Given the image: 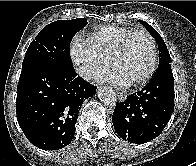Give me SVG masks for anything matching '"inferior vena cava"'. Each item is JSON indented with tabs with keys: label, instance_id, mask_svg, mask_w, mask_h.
I'll list each match as a JSON object with an SVG mask.
<instances>
[{
	"label": "inferior vena cava",
	"instance_id": "inferior-vena-cava-1",
	"mask_svg": "<svg viewBox=\"0 0 196 166\" xmlns=\"http://www.w3.org/2000/svg\"><path fill=\"white\" fill-rule=\"evenodd\" d=\"M78 73L84 79H90L92 77V70L90 68H80Z\"/></svg>",
	"mask_w": 196,
	"mask_h": 166
}]
</instances>
